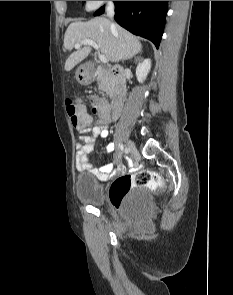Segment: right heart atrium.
<instances>
[{"mask_svg":"<svg viewBox=\"0 0 233 295\" xmlns=\"http://www.w3.org/2000/svg\"><path fill=\"white\" fill-rule=\"evenodd\" d=\"M106 1H85V8L88 11L98 9Z\"/></svg>","mask_w":233,"mask_h":295,"instance_id":"right-heart-atrium-1","label":"right heart atrium"}]
</instances>
